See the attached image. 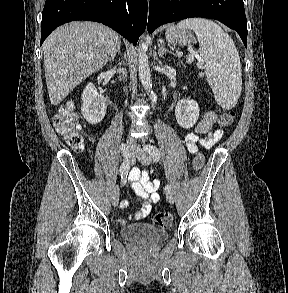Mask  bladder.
<instances>
[{
	"label": "bladder",
	"instance_id": "obj_1",
	"mask_svg": "<svg viewBox=\"0 0 288 293\" xmlns=\"http://www.w3.org/2000/svg\"><path fill=\"white\" fill-rule=\"evenodd\" d=\"M120 235L127 241H146L160 243L165 241L169 233L161 228L146 223H137L125 226L121 229Z\"/></svg>",
	"mask_w": 288,
	"mask_h": 293
}]
</instances>
